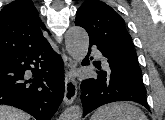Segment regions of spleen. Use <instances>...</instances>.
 <instances>
[{"instance_id": "obj_1", "label": "spleen", "mask_w": 165, "mask_h": 120, "mask_svg": "<svg viewBox=\"0 0 165 120\" xmlns=\"http://www.w3.org/2000/svg\"><path fill=\"white\" fill-rule=\"evenodd\" d=\"M90 120H147V117L130 103L116 102L98 108Z\"/></svg>"}]
</instances>
